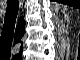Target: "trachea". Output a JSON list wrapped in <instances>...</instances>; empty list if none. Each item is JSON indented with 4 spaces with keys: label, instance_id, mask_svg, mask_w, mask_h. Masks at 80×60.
Wrapping results in <instances>:
<instances>
[{
    "label": "trachea",
    "instance_id": "trachea-1",
    "mask_svg": "<svg viewBox=\"0 0 80 60\" xmlns=\"http://www.w3.org/2000/svg\"><path fill=\"white\" fill-rule=\"evenodd\" d=\"M19 10L18 0H8L3 30L0 37V54L10 57L16 18Z\"/></svg>",
    "mask_w": 80,
    "mask_h": 60
}]
</instances>
